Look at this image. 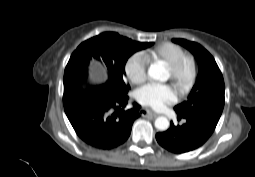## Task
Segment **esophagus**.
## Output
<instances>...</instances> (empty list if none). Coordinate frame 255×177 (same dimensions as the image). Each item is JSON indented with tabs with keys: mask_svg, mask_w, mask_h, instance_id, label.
I'll return each instance as SVG.
<instances>
[{
	"mask_svg": "<svg viewBox=\"0 0 255 177\" xmlns=\"http://www.w3.org/2000/svg\"><path fill=\"white\" fill-rule=\"evenodd\" d=\"M140 115L141 116H152V117H156L158 114L149 110V109H146V108H141L140 111H139Z\"/></svg>",
	"mask_w": 255,
	"mask_h": 177,
	"instance_id": "1",
	"label": "esophagus"
}]
</instances>
